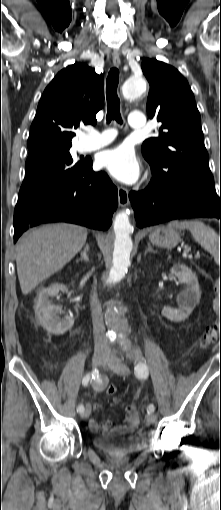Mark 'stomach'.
Returning a JSON list of instances; mask_svg holds the SVG:
<instances>
[{
    "label": "stomach",
    "instance_id": "obj_1",
    "mask_svg": "<svg viewBox=\"0 0 221 510\" xmlns=\"http://www.w3.org/2000/svg\"><path fill=\"white\" fill-rule=\"evenodd\" d=\"M149 240L157 246L171 249L181 241V238L175 228L158 226L150 233Z\"/></svg>",
    "mask_w": 221,
    "mask_h": 510
}]
</instances>
